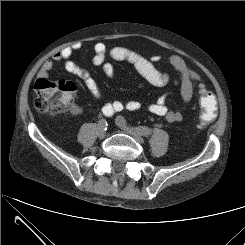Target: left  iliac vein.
I'll return each mask as SVG.
<instances>
[{"label":"left iliac vein","mask_w":245,"mask_h":245,"mask_svg":"<svg viewBox=\"0 0 245 245\" xmlns=\"http://www.w3.org/2000/svg\"><path fill=\"white\" fill-rule=\"evenodd\" d=\"M120 118H121V116H118V117L116 118V124H117V125L124 131V132H126L127 134H129V135H131L132 137H134V138H135L136 140H138L140 143H143V142H144L143 136H142L138 131H136L134 128L123 125Z\"/></svg>","instance_id":"4c4485c4"}]
</instances>
